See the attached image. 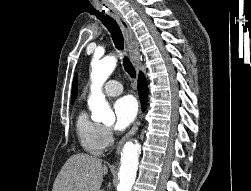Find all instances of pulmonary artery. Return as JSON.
Wrapping results in <instances>:
<instances>
[{
	"mask_svg": "<svg viewBox=\"0 0 251 191\" xmlns=\"http://www.w3.org/2000/svg\"><path fill=\"white\" fill-rule=\"evenodd\" d=\"M103 90L105 91L106 94L111 95V96H115V95H119L122 93L123 86L120 82H118L116 80H108L104 84Z\"/></svg>",
	"mask_w": 251,
	"mask_h": 191,
	"instance_id": "e3ab8cb5",
	"label": "pulmonary artery"
}]
</instances>
